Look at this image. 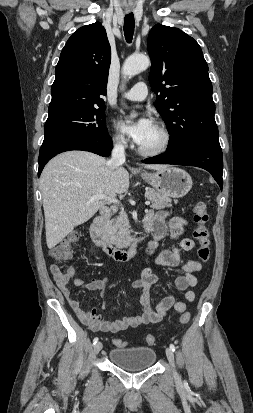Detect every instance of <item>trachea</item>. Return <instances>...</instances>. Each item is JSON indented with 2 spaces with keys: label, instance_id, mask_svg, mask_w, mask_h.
Wrapping results in <instances>:
<instances>
[{
  "label": "trachea",
  "instance_id": "obj_1",
  "mask_svg": "<svg viewBox=\"0 0 253 413\" xmlns=\"http://www.w3.org/2000/svg\"><path fill=\"white\" fill-rule=\"evenodd\" d=\"M134 27H135L134 14L131 12L125 15V19H124V34H125V39L128 43H131L133 39Z\"/></svg>",
  "mask_w": 253,
  "mask_h": 413
}]
</instances>
